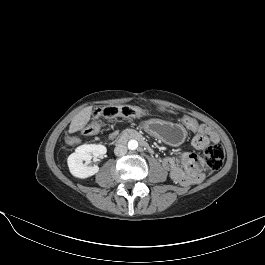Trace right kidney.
Returning a JSON list of instances; mask_svg holds the SVG:
<instances>
[{
    "mask_svg": "<svg viewBox=\"0 0 265 265\" xmlns=\"http://www.w3.org/2000/svg\"><path fill=\"white\" fill-rule=\"evenodd\" d=\"M106 151V147L100 144H84L79 146L67 159L70 173L80 179L95 175L98 173L99 167L97 165L87 166L83 162L90 161L92 157L104 155Z\"/></svg>",
    "mask_w": 265,
    "mask_h": 265,
    "instance_id": "right-kidney-1",
    "label": "right kidney"
}]
</instances>
